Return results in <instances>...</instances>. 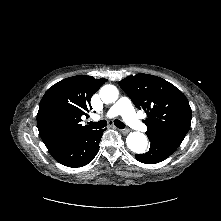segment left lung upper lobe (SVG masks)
I'll return each instance as SVG.
<instances>
[{"label": "left lung upper lobe", "instance_id": "left-lung-upper-lobe-1", "mask_svg": "<svg viewBox=\"0 0 221 221\" xmlns=\"http://www.w3.org/2000/svg\"><path fill=\"white\" fill-rule=\"evenodd\" d=\"M138 109L147 114L148 138L179 146L191 125L192 110L185 95L173 84L149 74L128 76L119 82Z\"/></svg>", "mask_w": 221, "mask_h": 221}]
</instances>
